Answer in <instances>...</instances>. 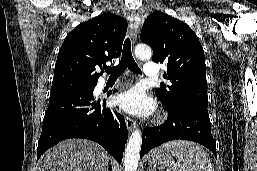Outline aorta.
Listing matches in <instances>:
<instances>
[{
    "mask_svg": "<svg viewBox=\"0 0 257 171\" xmlns=\"http://www.w3.org/2000/svg\"><path fill=\"white\" fill-rule=\"evenodd\" d=\"M135 55L141 60L150 59L152 50L148 45L139 44L135 47ZM142 143V135L139 129L132 132L125 149L124 155V171H136L138 167V160L140 156V149Z\"/></svg>",
    "mask_w": 257,
    "mask_h": 171,
    "instance_id": "aorta-1",
    "label": "aorta"
}]
</instances>
